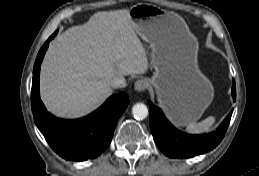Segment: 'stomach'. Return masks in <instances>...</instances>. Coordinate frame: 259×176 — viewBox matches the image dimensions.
<instances>
[{
	"label": "stomach",
	"instance_id": "obj_1",
	"mask_svg": "<svg viewBox=\"0 0 259 176\" xmlns=\"http://www.w3.org/2000/svg\"><path fill=\"white\" fill-rule=\"evenodd\" d=\"M129 15L136 33L149 45L155 72L148 82L159 105L178 126L196 122L214 96L212 84L198 69L197 40L179 16L156 5H134Z\"/></svg>",
	"mask_w": 259,
	"mask_h": 176
}]
</instances>
